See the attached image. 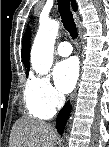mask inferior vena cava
Returning a JSON list of instances; mask_svg holds the SVG:
<instances>
[{
    "mask_svg": "<svg viewBox=\"0 0 109 147\" xmlns=\"http://www.w3.org/2000/svg\"><path fill=\"white\" fill-rule=\"evenodd\" d=\"M56 100H57L58 105L62 106L65 103V96L62 95V94H57L56 95Z\"/></svg>",
    "mask_w": 109,
    "mask_h": 147,
    "instance_id": "obj_1",
    "label": "inferior vena cava"
}]
</instances>
